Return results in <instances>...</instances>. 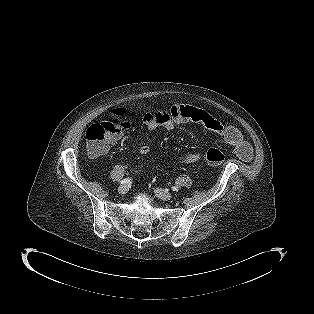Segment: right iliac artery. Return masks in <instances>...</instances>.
<instances>
[{"label":"right iliac artery","mask_w":314,"mask_h":314,"mask_svg":"<svg viewBox=\"0 0 314 314\" xmlns=\"http://www.w3.org/2000/svg\"><path fill=\"white\" fill-rule=\"evenodd\" d=\"M130 182H131V179H128V178L123 179V180L120 181L121 184H127V183H130Z\"/></svg>","instance_id":"82829eb1"}]
</instances>
